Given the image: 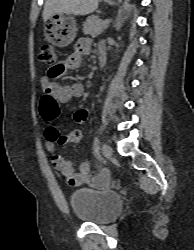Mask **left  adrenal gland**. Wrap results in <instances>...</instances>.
Segmentation results:
<instances>
[{
    "mask_svg": "<svg viewBox=\"0 0 194 250\" xmlns=\"http://www.w3.org/2000/svg\"><path fill=\"white\" fill-rule=\"evenodd\" d=\"M121 26H122V21H120V22L117 23V31L120 30Z\"/></svg>",
    "mask_w": 194,
    "mask_h": 250,
    "instance_id": "a2214340",
    "label": "left adrenal gland"
}]
</instances>
